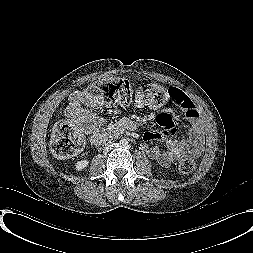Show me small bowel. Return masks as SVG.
<instances>
[{"mask_svg":"<svg viewBox=\"0 0 253 253\" xmlns=\"http://www.w3.org/2000/svg\"><path fill=\"white\" fill-rule=\"evenodd\" d=\"M171 89L175 92L174 103L178 105L190 121L191 128L188 141H185L183 137L176 138L174 136L177 130L176 124L172 121L171 112L166 110L157 116V121L163 127V130L160 132L147 131L143 134L145 143L164 142L166 144V149H161L158 146L147 148L149 157L163 167H169L173 162L187 156L198 157L204 146L203 130L196 105L185 93L175 88ZM66 112L74 118L75 125L89 136L90 143L96 146L104 143L115 131L124 126V124H118L112 130H105L102 118L82 104L81 92H74L70 95Z\"/></svg>","mask_w":253,"mask_h":253,"instance_id":"c3829d8e","label":"small bowel"}]
</instances>
